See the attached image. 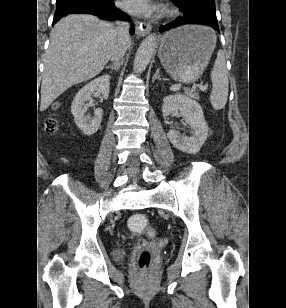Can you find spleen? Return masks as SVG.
<instances>
[{
  "instance_id": "spleen-1",
  "label": "spleen",
  "mask_w": 286,
  "mask_h": 308,
  "mask_svg": "<svg viewBox=\"0 0 286 308\" xmlns=\"http://www.w3.org/2000/svg\"><path fill=\"white\" fill-rule=\"evenodd\" d=\"M212 92L210 102L215 110L223 109L228 98V72L226 69L225 55L223 51H218L214 67L211 71Z\"/></svg>"
}]
</instances>
